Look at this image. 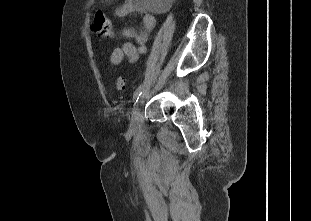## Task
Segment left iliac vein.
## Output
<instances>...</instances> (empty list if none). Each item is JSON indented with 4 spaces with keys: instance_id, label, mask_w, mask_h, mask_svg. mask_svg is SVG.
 <instances>
[{
    "instance_id": "4c4485c4",
    "label": "left iliac vein",
    "mask_w": 311,
    "mask_h": 221,
    "mask_svg": "<svg viewBox=\"0 0 311 221\" xmlns=\"http://www.w3.org/2000/svg\"><path fill=\"white\" fill-rule=\"evenodd\" d=\"M140 101H137L134 105L133 108V113H132V120H131V124H130V128L132 130L137 129L139 121H140Z\"/></svg>"
}]
</instances>
